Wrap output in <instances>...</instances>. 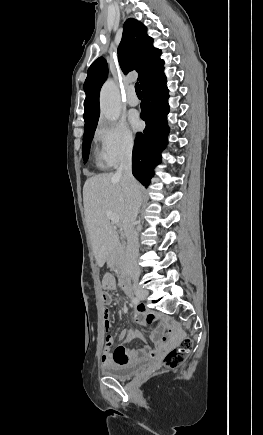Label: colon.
Here are the masks:
<instances>
[{"instance_id": "obj_1", "label": "colon", "mask_w": 263, "mask_h": 435, "mask_svg": "<svg viewBox=\"0 0 263 435\" xmlns=\"http://www.w3.org/2000/svg\"><path fill=\"white\" fill-rule=\"evenodd\" d=\"M107 298V294H102V299L105 300ZM113 335L110 333H106L103 336L104 343L103 348L104 350H113L114 348V339ZM192 349V341L190 338L186 337L182 340L181 344L174 349H171L166 353V355L163 358V367L166 369H171L179 366L181 363H183L188 354L190 353Z\"/></svg>"}]
</instances>
